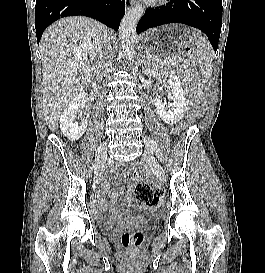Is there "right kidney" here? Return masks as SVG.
Masks as SVG:
<instances>
[{
    "mask_svg": "<svg viewBox=\"0 0 265 273\" xmlns=\"http://www.w3.org/2000/svg\"><path fill=\"white\" fill-rule=\"evenodd\" d=\"M87 99V93L80 92L69 102L60 116L61 131L70 141H76L81 138L87 129V120L81 119L82 123L80 126L76 122L78 116L82 117L78 115V111L80 107L85 106Z\"/></svg>",
    "mask_w": 265,
    "mask_h": 273,
    "instance_id": "1",
    "label": "right kidney"
}]
</instances>
